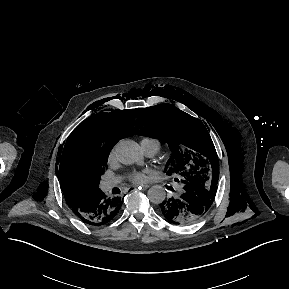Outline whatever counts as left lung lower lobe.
I'll return each instance as SVG.
<instances>
[{
  "mask_svg": "<svg viewBox=\"0 0 289 289\" xmlns=\"http://www.w3.org/2000/svg\"><path fill=\"white\" fill-rule=\"evenodd\" d=\"M217 182L204 184L195 180L183 185L178 197L170 198L160 204L164 217L176 224L187 225L196 222L211 207L216 195Z\"/></svg>",
  "mask_w": 289,
  "mask_h": 289,
  "instance_id": "0a47b994",
  "label": "left lung lower lobe"
}]
</instances>
